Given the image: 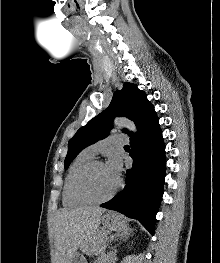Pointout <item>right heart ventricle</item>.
<instances>
[{"mask_svg": "<svg viewBox=\"0 0 220 263\" xmlns=\"http://www.w3.org/2000/svg\"><path fill=\"white\" fill-rule=\"evenodd\" d=\"M92 155L85 150L79 153L71 163L63 186L62 203L65 207H76L85 202L75 197L73 192V183L78 172L90 161L93 160Z\"/></svg>", "mask_w": 220, "mask_h": 263, "instance_id": "e07e8e85", "label": "right heart ventricle"}]
</instances>
